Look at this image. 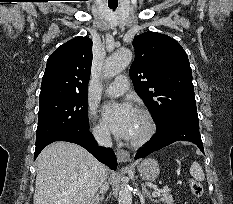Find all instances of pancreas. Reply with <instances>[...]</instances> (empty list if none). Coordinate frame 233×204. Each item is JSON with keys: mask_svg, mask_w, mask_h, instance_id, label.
<instances>
[{"mask_svg": "<svg viewBox=\"0 0 233 204\" xmlns=\"http://www.w3.org/2000/svg\"><path fill=\"white\" fill-rule=\"evenodd\" d=\"M159 201L163 202L164 204L174 203L173 196L169 192H166V191L161 192Z\"/></svg>", "mask_w": 233, "mask_h": 204, "instance_id": "obj_1", "label": "pancreas"}]
</instances>
